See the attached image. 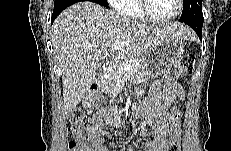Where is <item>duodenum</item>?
<instances>
[{"mask_svg":"<svg viewBox=\"0 0 231 151\" xmlns=\"http://www.w3.org/2000/svg\"><path fill=\"white\" fill-rule=\"evenodd\" d=\"M100 81H94L90 84L89 86V92L92 94V95H95L99 92L100 90Z\"/></svg>","mask_w":231,"mask_h":151,"instance_id":"obj_1","label":"duodenum"}]
</instances>
